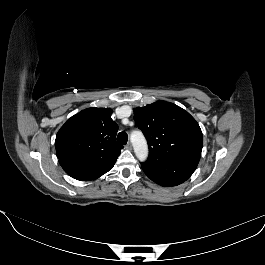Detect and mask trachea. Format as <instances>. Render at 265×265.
<instances>
[{"label": "trachea", "instance_id": "obj_1", "mask_svg": "<svg viewBox=\"0 0 265 265\" xmlns=\"http://www.w3.org/2000/svg\"><path fill=\"white\" fill-rule=\"evenodd\" d=\"M127 140H128V136H127V133L126 132H120L117 136V141L120 143V144H123L125 145L127 143Z\"/></svg>", "mask_w": 265, "mask_h": 265}]
</instances>
